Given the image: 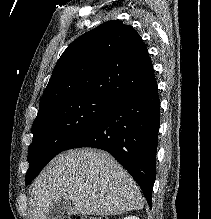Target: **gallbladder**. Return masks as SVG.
<instances>
[{
  "label": "gallbladder",
  "mask_w": 211,
  "mask_h": 219,
  "mask_svg": "<svg viewBox=\"0 0 211 219\" xmlns=\"http://www.w3.org/2000/svg\"><path fill=\"white\" fill-rule=\"evenodd\" d=\"M73 203L69 199H60L52 203L46 219H63L66 212L71 210Z\"/></svg>",
  "instance_id": "gallbladder-1"
}]
</instances>
